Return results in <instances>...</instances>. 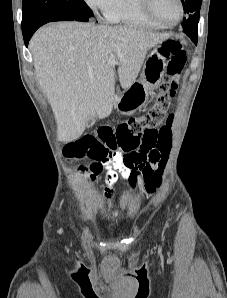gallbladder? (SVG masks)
<instances>
[{
  "label": "gallbladder",
  "instance_id": "gallbladder-1",
  "mask_svg": "<svg viewBox=\"0 0 227 298\" xmlns=\"http://www.w3.org/2000/svg\"><path fill=\"white\" fill-rule=\"evenodd\" d=\"M93 123H94V119H93V118H90V119L88 120L86 126H87V127H90V126L93 125Z\"/></svg>",
  "mask_w": 227,
  "mask_h": 298
}]
</instances>
